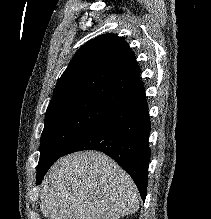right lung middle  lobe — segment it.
Returning a JSON list of instances; mask_svg holds the SVG:
<instances>
[{
	"mask_svg": "<svg viewBox=\"0 0 211 219\" xmlns=\"http://www.w3.org/2000/svg\"><path fill=\"white\" fill-rule=\"evenodd\" d=\"M116 107L93 97L70 99L48 106L40 139L37 183L77 138Z\"/></svg>",
	"mask_w": 211,
	"mask_h": 219,
	"instance_id": "right-lung-middle-lobe-1",
	"label": "right lung middle lobe"
}]
</instances>
